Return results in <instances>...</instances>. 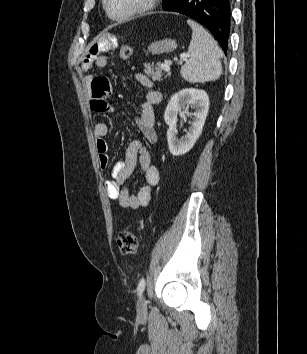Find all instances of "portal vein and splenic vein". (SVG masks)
Returning <instances> with one entry per match:
<instances>
[{
  "mask_svg": "<svg viewBox=\"0 0 307 354\" xmlns=\"http://www.w3.org/2000/svg\"><path fill=\"white\" fill-rule=\"evenodd\" d=\"M188 55H181L180 59L185 61L187 59ZM172 65L171 60H167L164 64H162L164 71L170 72V66Z\"/></svg>",
  "mask_w": 307,
  "mask_h": 354,
  "instance_id": "18ae733b",
  "label": "portal vein and splenic vein"
}]
</instances>
